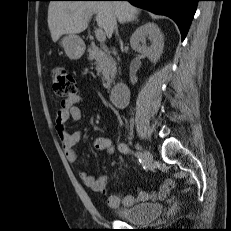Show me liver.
Segmentation results:
<instances>
[{"mask_svg": "<svg viewBox=\"0 0 231 231\" xmlns=\"http://www.w3.org/2000/svg\"><path fill=\"white\" fill-rule=\"evenodd\" d=\"M96 14L97 25L112 37V20L125 23L137 18L138 8L126 1H51L48 7V27L56 42L64 34H78Z\"/></svg>", "mask_w": 231, "mask_h": 231, "instance_id": "1", "label": "liver"}]
</instances>
